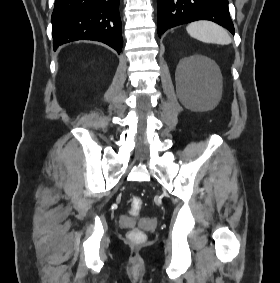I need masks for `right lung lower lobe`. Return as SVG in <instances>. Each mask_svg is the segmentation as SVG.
Wrapping results in <instances>:
<instances>
[{
	"label": "right lung lower lobe",
	"instance_id": "1",
	"mask_svg": "<svg viewBox=\"0 0 280 283\" xmlns=\"http://www.w3.org/2000/svg\"><path fill=\"white\" fill-rule=\"evenodd\" d=\"M119 0H55L52 13L53 46L77 40L103 42L122 49Z\"/></svg>",
	"mask_w": 280,
	"mask_h": 283
}]
</instances>
